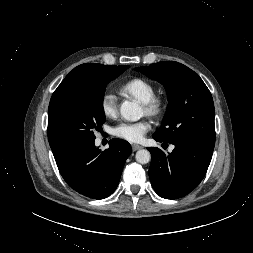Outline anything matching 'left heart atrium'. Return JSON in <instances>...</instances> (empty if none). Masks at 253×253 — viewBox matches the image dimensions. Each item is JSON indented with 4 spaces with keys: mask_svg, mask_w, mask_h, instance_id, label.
I'll return each instance as SVG.
<instances>
[{
    "mask_svg": "<svg viewBox=\"0 0 253 253\" xmlns=\"http://www.w3.org/2000/svg\"><path fill=\"white\" fill-rule=\"evenodd\" d=\"M150 129L151 124L148 120L121 122L113 127L112 133L120 139L129 142H139Z\"/></svg>",
    "mask_w": 253,
    "mask_h": 253,
    "instance_id": "left-heart-atrium-1",
    "label": "left heart atrium"
}]
</instances>
